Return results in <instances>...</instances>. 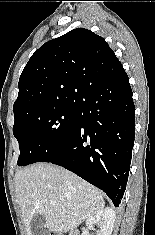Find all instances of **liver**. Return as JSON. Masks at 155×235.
Listing matches in <instances>:
<instances>
[{
	"mask_svg": "<svg viewBox=\"0 0 155 235\" xmlns=\"http://www.w3.org/2000/svg\"><path fill=\"white\" fill-rule=\"evenodd\" d=\"M16 195L27 235L36 214L45 217L49 232L66 233L102 210L100 191L76 174L52 164L37 163L14 176Z\"/></svg>",
	"mask_w": 155,
	"mask_h": 235,
	"instance_id": "6515ba94",
	"label": "liver"
}]
</instances>
